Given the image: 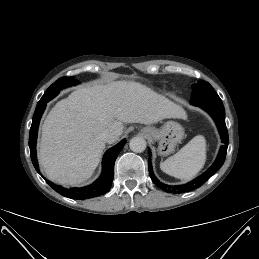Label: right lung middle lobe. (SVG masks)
<instances>
[{"instance_id": "dd1d6c3e", "label": "right lung middle lobe", "mask_w": 259, "mask_h": 259, "mask_svg": "<svg viewBox=\"0 0 259 259\" xmlns=\"http://www.w3.org/2000/svg\"><path fill=\"white\" fill-rule=\"evenodd\" d=\"M77 81L73 79L72 77H62L61 79H58L55 83H53L47 91L44 93L42 98L38 103H47L51 99H53L60 91V88L64 86H71L75 84Z\"/></svg>"}]
</instances>
